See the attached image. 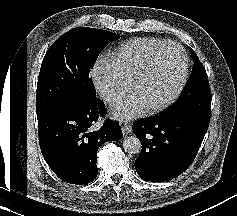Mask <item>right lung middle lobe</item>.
<instances>
[{
  "instance_id": "right-lung-middle-lobe-1",
  "label": "right lung middle lobe",
  "mask_w": 237,
  "mask_h": 216,
  "mask_svg": "<svg viewBox=\"0 0 237 216\" xmlns=\"http://www.w3.org/2000/svg\"><path fill=\"white\" fill-rule=\"evenodd\" d=\"M119 35L77 27L47 50L37 83V116L70 101L91 100L96 90L89 77L99 53Z\"/></svg>"
}]
</instances>
